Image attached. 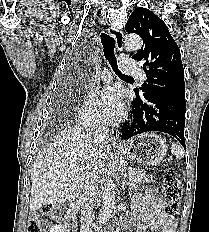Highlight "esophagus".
<instances>
[{
    "label": "esophagus",
    "mask_w": 209,
    "mask_h": 232,
    "mask_svg": "<svg viewBox=\"0 0 209 232\" xmlns=\"http://www.w3.org/2000/svg\"><path fill=\"white\" fill-rule=\"evenodd\" d=\"M109 34L115 39L117 49L119 51H123L124 45H123V40H124V35L121 30H118L114 27L109 28ZM111 139L114 143V145H118L119 143V133L116 129H112L110 133Z\"/></svg>",
    "instance_id": "1"
}]
</instances>
